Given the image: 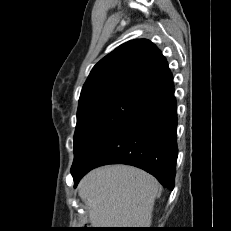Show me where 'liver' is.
<instances>
[{"label":"liver","instance_id":"liver-1","mask_svg":"<svg viewBox=\"0 0 231 231\" xmlns=\"http://www.w3.org/2000/svg\"><path fill=\"white\" fill-rule=\"evenodd\" d=\"M160 190L153 176L126 165L92 170L78 185L94 228L149 227Z\"/></svg>","mask_w":231,"mask_h":231}]
</instances>
